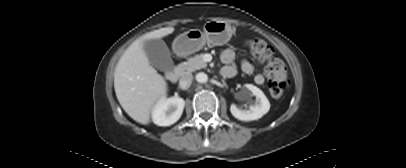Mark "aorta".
Returning <instances> with one entry per match:
<instances>
[{"instance_id": "obj_1", "label": "aorta", "mask_w": 406, "mask_h": 168, "mask_svg": "<svg viewBox=\"0 0 406 168\" xmlns=\"http://www.w3.org/2000/svg\"><path fill=\"white\" fill-rule=\"evenodd\" d=\"M196 80L199 83H206L208 80V76L205 73L201 72L196 75Z\"/></svg>"}]
</instances>
